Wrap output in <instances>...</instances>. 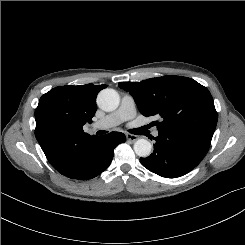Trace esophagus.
I'll use <instances>...</instances> for the list:
<instances>
[{
    "mask_svg": "<svg viewBox=\"0 0 245 245\" xmlns=\"http://www.w3.org/2000/svg\"><path fill=\"white\" fill-rule=\"evenodd\" d=\"M126 138H127V140L130 141V142H135V141L138 139V136H137V135H133V134L127 133V134H126Z\"/></svg>",
    "mask_w": 245,
    "mask_h": 245,
    "instance_id": "1",
    "label": "esophagus"
}]
</instances>
